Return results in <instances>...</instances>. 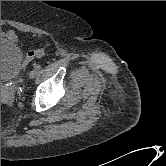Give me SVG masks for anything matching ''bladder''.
Returning <instances> with one entry per match:
<instances>
[{
	"mask_svg": "<svg viewBox=\"0 0 166 166\" xmlns=\"http://www.w3.org/2000/svg\"><path fill=\"white\" fill-rule=\"evenodd\" d=\"M23 53L12 40L1 37V83H15L23 71Z\"/></svg>",
	"mask_w": 166,
	"mask_h": 166,
	"instance_id": "31cf9c89",
	"label": "bladder"
}]
</instances>
